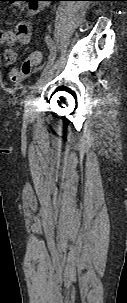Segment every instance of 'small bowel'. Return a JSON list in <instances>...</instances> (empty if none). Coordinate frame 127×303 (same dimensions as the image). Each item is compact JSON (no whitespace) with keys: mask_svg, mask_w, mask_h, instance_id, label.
Instances as JSON below:
<instances>
[{"mask_svg":"<svg viewBox=\"0 0 127 303\" xmlns=\"http://www.w3.org/2000/svg\"><path fill=\"white\" fill-rule=\"evenodd\" d=\"M27 2V13L29 15L40 12L48 6L47 4L41 3L39 1L35 4H33L30 0H27ZM31 32V24L28 21H21L17 24L15 29L9 31H5L0 26V44L7 45L4 50V59L7 65H11L16 61L15 48L26 45L31 38Z\"/></svg>","mask_w":127,"mask_h":303,"instance_id":"c3829d8e","label":"small bowel"}]
</instances>
